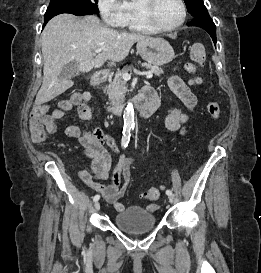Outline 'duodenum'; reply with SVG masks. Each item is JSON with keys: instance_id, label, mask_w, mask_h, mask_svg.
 <instances>
[{"instance_id": "1", "label": "duodenum", "mask_w": 261, "mask_h": 273, "mask_svg": "<svg viewBox=\"0 0 261 273\" xmlns=\"http://www.w3.org/2000/svg\"><path fill=\"white\" fill-rule=\"evenodd\" d=\"M106 72L96 73L91 81L92 86L97 87L107 80ZM134 106L139 110L142 119L151 116L157 108V102L154 95L149 89H143L135 98ZM126 110V103H116L108 107L109 113L113 115H121Z\"/></svg>"}]
</instances>
